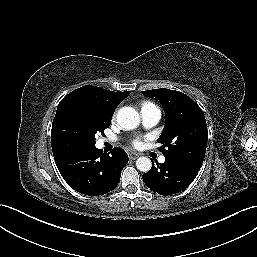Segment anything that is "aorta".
Segmentation results:
<instances>
[{"instance_id":"aorta-1","label":"aorta","mask_w":257,"mask_h":257,"mask_svg":"<svg viewBox=\"0 0 257 257\" xmlns=\"http://www.w3.org/2000/svg\"><path fill=\"white\" fill-rule=\"evenodd\" d=\"M117 123L125 130L135 129L140 123L139 113L132 107H122L117 113ZM136 167L141 172H148L152 162L147 157H139Z\"/></svg>"}]
</instances>
